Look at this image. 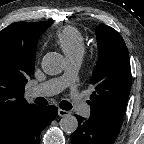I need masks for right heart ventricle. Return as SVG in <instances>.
Wrapping results in <instances>:
<instances>
[{"instance_id":"obj_1","label":"right heart ventricle","mask_w":144,"mask_h":144,"mask_svg":"<svg viewBox=\"0 0 144 144\" xmlns=\"http://www.w3.org/2000/svg\"><path fill=\"white\" fill-rule=\"evenodd\" d=\"M55 40L67 58L81 56L84 51V37L74 26H65L59 29L55 35Z\"/></svg>"}]
</instances>
